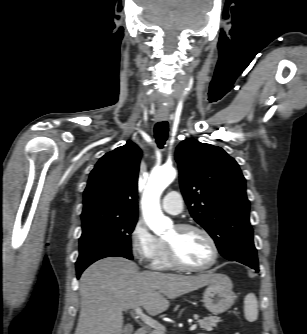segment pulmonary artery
I'll return each instance as SVG.
<instances>
[{
  "mask_svg": "<svg viewBox=\"0 0 307 334\" xmlns=\"http://www.w3.org/2000/svg\"><path fill=\"white\" fill-rule=\"evenodd\" d=\"M162 209L169 214L177 215L183 210V199L178 191L168 192L162 200Z\"/></svg>",
  "mask_w": 307,
  "mask_h": 334,
  "instance_id": "1",
  "label": "pulmonary artery"
}]
</instances>
